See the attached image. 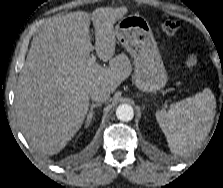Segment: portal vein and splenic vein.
Returning a JSON list of instances; mask_svg holds the SVG:
<instances>
[{"label":"portal vein and splenic vein","mask_w":223,"mask_h":188,"mask_svg":"<svg viewBox=\"0 0 223 188\" xmlns=\"http://www.w3.org/2000/svg\"><path fill=\"white\" fill-rule=\"evenodd\" d=\"M96 61V56L95 55H91L90 59L88 60L89 64L92 65L94 64Z\"/></svg>","instance_id":"portal-vein-and-splenic-vein-1"}]
</instances>
